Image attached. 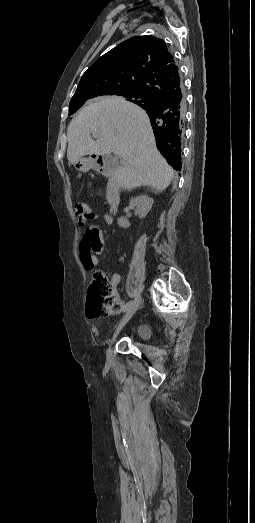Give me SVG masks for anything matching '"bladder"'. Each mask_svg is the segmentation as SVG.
<instances>
[{
  "label": "bladder",
  "mask_w": 255,
  "mask_h": 523,
  "mask_svg": "<svg viewBox=\"0 0 255 523\" xmlns=\"http://www.w3.org/2000/svg\"><path fill=\"white\" fill-rule=\"evenodd\" d=\"M137 337L140 338V339H147V337H148V330H147L146 326L141 325L138 328Z\"/></svg>",
  "instance_id": "obj_1"
}]
</instances>
